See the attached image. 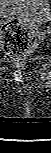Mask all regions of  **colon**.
<instances>
[{"label":"colon","mask_w":51,"mask_h":153,"mask_svg":"<svg viewBox=\"0 0 51 153\" xmlns=\"http://www.w3.org/2000/svg\"><path fill=\"white\" fill-rule=\"evenodd\" d=\"M4 50L13 59H22L30 53L36 43L34 32L18 20L7 22L2 30Z\"/></svg>","instance_id":"1"}]
</instances>
